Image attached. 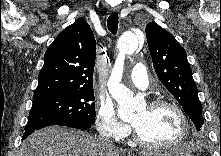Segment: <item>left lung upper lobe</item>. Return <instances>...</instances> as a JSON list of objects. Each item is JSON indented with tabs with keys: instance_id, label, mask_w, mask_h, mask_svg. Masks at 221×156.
<instances>
[{
	"instance_id": "obj_1",
	"label": "left lung upper lobe",
	"mask_w": 221,
	"mask_h": 156,
	"mask_svg": "<svg viewBox=\"0 0 221 156\" xmlns=\"http://www.w3.org/2000/svg\"><path fill=\"white\" fill-rule=\"evenodd\" d=\"M153 66L162 84L182 106L199 131L203 126L202 105L185 49L155 22L146 26Z\"/></svg>"
}]
</instances>
